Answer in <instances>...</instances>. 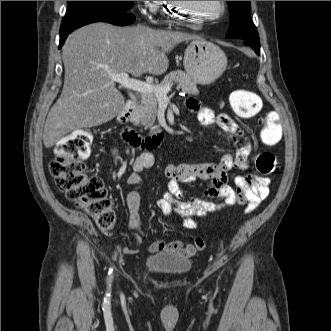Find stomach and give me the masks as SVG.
Instances as JSON below:
<instances>
[{
  "label": "stomach",
  "instance_id": "obj_1",
  "mask_svg": "<svg viewBox=\"0 0 331 331\" xmlns=\"http://www.w3.org/2000/svg\"><path fill=\"white\" fill-rule=\"evenodd\" d=\"M183 64L187 75L195 83L206 85L222 75L227 66V57L220 47L200 38L187 46Z\"/></svg>",
  "mask_w": 331,
  "mask_h": 331
}]
</instances>
